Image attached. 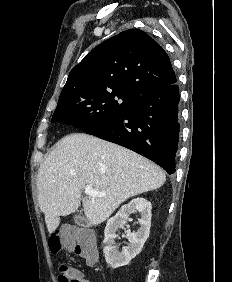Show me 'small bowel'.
Listing matches in <instances>:
<instances>
[{"mask_svg":"<svg viewBox=\"0 0 232 282\" xmlns=\"http://www.w3.org/2000/svg\"><path fill=\"white\" fill-rule=\"evenodd\" d=\"M74 274L80 278V282H90L88 280L83 279L82 275H81V273L79 271L74 270Z\"/></svg>","mask_w":232,"mask_h":282,"instance_id":"c3829d8e","label":"small bowel"}]
</instances>
